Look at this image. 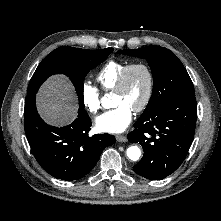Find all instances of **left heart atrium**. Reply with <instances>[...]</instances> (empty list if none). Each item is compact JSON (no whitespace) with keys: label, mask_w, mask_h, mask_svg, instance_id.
Segmentation results:
<instances>
[{"label":"left heart atrium","mask_w":221,"mask_h":221,"mask_svg":"<svg viewBox=\"0 0 221 221\" xmlns=\"http://www.w3.org/2000/svg\"><path fill=\"white\" fill-rule=\"evenodd\" d=\"M133 110L126 104H119L95 119L96 128L101 132L120 133L131 123Z\"/></svg>","instance_id":"obj_1"}]
</instances>
